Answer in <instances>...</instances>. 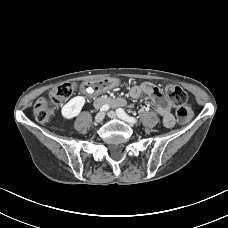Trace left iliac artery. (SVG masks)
<instances>
[{
	"instance_id": "44dca946",
	"label": "left iliac artery",
	"mask_w": 228,
	"mask_h": 228,
	"mask_svg": "<svg viewBox=\"0 0 228 228\" xmlns=\"http://www.w3.org/2000/svg\"><path fill=\"white\" fill-rule=\"evenodd\" d=\"M116 114L119 118L129 122V123H137V119L132 117V116H129L123 109L121 108H118L116 110Z\"/></svg>"
}]
</instances>
